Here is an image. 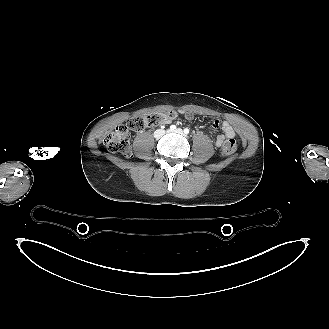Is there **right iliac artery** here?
Here are the masks:
<instances>
[{
    "label": "right iliac artery",
    "mask_w": 329,
    "mask_h": 329,
    "mask_svg": "<svg viewBox=\"0 0 329 329\" xmlns=\"http://www.w3.org/2000/svg\"><path fill=\"white\" fill-rule=\"evenodd\" d=\"M170 129H171V130H175V129H176V126H175V125H171V126H170Z\"/></svg>",
    "instance_id": "82829eb1"
}]
</instances>
